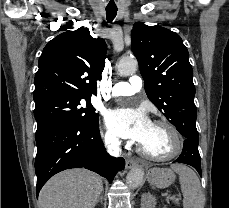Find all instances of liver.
Returning a JSON list of instances; mask_svg holds the SVG:
<instances>
[{"mask_svg":"<svg viewBox=\"0 0 229 208\" xmlns=\"http://www.w3.org/2000/svg\"><path fill=\"white\" fill-rule=\"evenodd\" d=\"M102 178L88 170H65L53 176L39 194L41 208H94Z\"/></svg>","mask_w":229,"mask_h":208,"instance_id":"obj_1","label":"liver"}]
</instances>
